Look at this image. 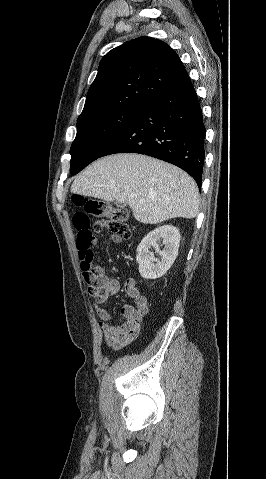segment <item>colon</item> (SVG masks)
<instances>
[{
    "instance_id": "5ec220e1",
    "label": "colon",
    "mask_w": 266,
    "mask_h": 479,
    "mask_svg": "<svg viewBox=\"0 0 266 479\" xmlns=\"http://www.w3.org/2000/svg\"><path fill=\"white\" fill-rule=\"evenodd\" d=\"M72 203L81 210L75 211L72 223L76 232V247L79 253L80 270L88 286L91 296L97 295L96 278L94 276V251L91 247V229L96 232L107 230L111 234L127 240L130 232L127 225L128 213L105 201L73 196Z\"/></svg>"
}]
</instances>
